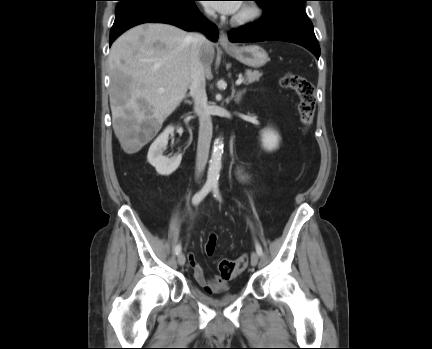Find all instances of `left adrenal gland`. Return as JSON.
Masks as SVG:
<instances>
[{
	"mask_svg": "<svg viewBox=\"0 0 432 349\" xmlns=\"http://www.w3.org/2000/svg\"><path fill=\"white\" fill-rule=\"evenodd\" d=\"M245 92H246V90L243 89V90L238 91V92L235 94V90H234V88H232V97H234V101H235L236 103H239L240 100H241V98H242V96H243V94H245Z\"/></svg>",
	"mask_w": 432,
	"mask_h": 349,
	"instance_id": "obj_1",
	"label": "left adrenal gland"
}]
</instances>
